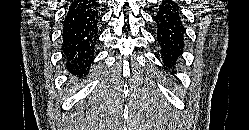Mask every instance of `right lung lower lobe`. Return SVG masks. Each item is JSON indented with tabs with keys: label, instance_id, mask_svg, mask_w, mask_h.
I'll return each mask as SVG.
<instances>
[{
	"label": "right lung lower lobe",
	"instance_id": "obj_1",
	"mask_svg": "<svg viewBox=\"0 0 249 130\" xmlns=\"http://www.w3.org/2000/svg\"><path fill=\"white\" fill-rule=\"evenodd\" d=\"M99 18L95 1L77 0L69 7L62 32V50L66 67L75 76L85 75L93 61Z\"/></svg>",
	"mask_w": 249,
	"mask_h": 130
}]
</instances>
